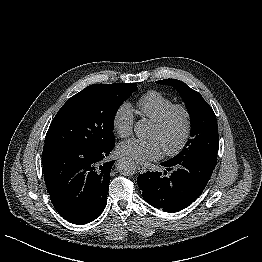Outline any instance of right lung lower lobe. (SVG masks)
<instances>
[{"label":"right lung lower lobe","instance_id":"right-lung-lower-lobe-1","mask_svg":"<svg viewBox=\"0 0 262 262\" xmlns=\"http://www.w3.org/2000/svg\"><path fill=\"white\" fill-rule=\"evenodd\" d=\"M115 144L106 147L44 145V180L57 212L74 224L98 218L107 203L114 161L105 162Z\"/></svg>","mask_w":262,"mask_h":262}]
</instances>
